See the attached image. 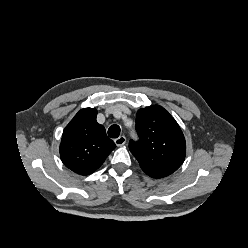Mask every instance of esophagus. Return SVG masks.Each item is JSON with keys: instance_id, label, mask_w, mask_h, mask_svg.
Listing matches in <instances>:
<instances>
[{"instance_id": "34e87169", "label": "esophagus", "mask_w": 248, "mask_h": 248, "mask_svg": "<svg viewBox=\"0 0 248 248\" xmlns=\"http://www.w3.org/2000/svg\"><path fill=\"white\" fill-rule=\"evenodd\" d=\"M114 142L117 146H122L126 143V137L125 136H120L116 139H114Z\"/></svg>"}]
</instances>
